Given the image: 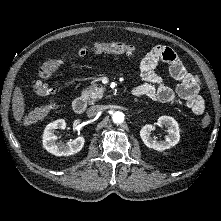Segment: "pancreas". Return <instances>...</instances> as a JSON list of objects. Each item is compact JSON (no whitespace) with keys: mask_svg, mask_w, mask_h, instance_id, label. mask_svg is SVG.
I'll return each instance as SVG.
<instances>
[{"mask_svg":"<svg viewBox=\"0 0 221 221\" xmlns=\"http://www.w3.org/2000/svg\"><path fill=\"white\" fill-rule=\"evenodd\" d=\"M104 91L101 85L92 84L82 91V98L92 104L102 98Z\"/></svg>","mask_w":221,"mask_h":221,"instance_id":"1","label":"pancreas"}]
</instances>
